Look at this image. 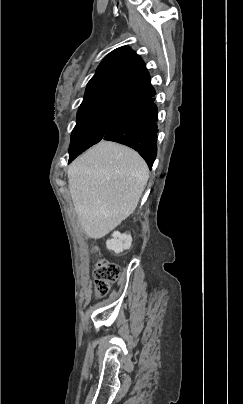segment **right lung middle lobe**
<instances>
[{
    "label": "right lung middle lobe",
    "instance_id": "obj_1",
    "mask_svg": "<svg viewBox=\"0 0 243 404\" xmlns=\"http://www.w3.org/2000/svg\"><path fill=\"white\" fill-rule=\"evenodd\" d=\"M126 105L122 102H102L80 107L77 124L71 134L69 163L102 140L114 119Z\"/></svg>",
    "mask_w": 243,
    "mask_h": 404
}]
</instances>
